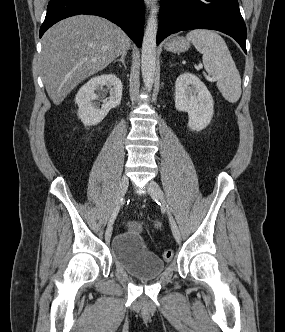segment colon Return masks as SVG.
<instances>
[{
	"label": "colon",
	"instance_id": "colon-1",
	"mask_svg": "<svg viewBox=\"0 0 285 332\" xmlns=\"http://www.w3.org/2000/svg\"><path fill=\"white\" fill-rule=\"evenodd\" d=\"M163 258L165 261H170L173 258V251L172 250H166L163 254Z\"/></svg>",
	"mask_w": 285,
	"mask_h": 332
}]
</instances>
